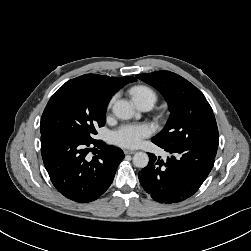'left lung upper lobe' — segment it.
<instances>
[{
    "label": "left lung upper lobe",
    "mask_w": 251,
    "mask_h": 251,
    "mask_svg": "<svg viewBox=\"0 0 251 251\" xmlns=\"http://www.w3.org/2000/svg\"><path fill=\"white\" fill-rule=\"evenodd\" d=\"M136 77L165 97L171 113L164 129L152 140L172 146L195 139H219L211 106L202 92L189 81L170 71H156Z\"/></svg>",
    "instance_id": "5c2ea615"
}]
</instances>
